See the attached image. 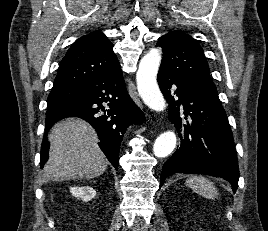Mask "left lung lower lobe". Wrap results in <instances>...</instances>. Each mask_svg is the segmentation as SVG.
Masks as SVG:
<instances>
[{"instance_id":"0a47b994","label":"left lung lower lobe","mask_w":268,"mask_h":231,"mask_svg":"<svg viewBox=\"0 0 268 231\" xmlns=\"http://www.w3.org/2000/svg\"><path fill=\"white\" fill-rule=\"evenodd\" d=\"M157 80L169 104V121L181 140L180 147L163 165L160 187L174 173L207 174L224 178L235 192L239 167L233 135L221 103L167 70L159 69ZM173 84L177 86L175 92L171 90ZM173 94L178 100H174ZM180 105L184 119L180 117Z\"/></svg>"}]
</instances>
